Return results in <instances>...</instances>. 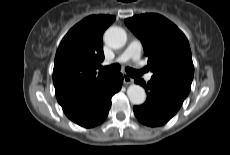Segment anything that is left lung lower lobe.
Returning a JSON list of instances; mask_svg holds the SVG:
<instances>
[{"mask_svg":"<svg viewBox=\"0 0 230 155\" xmlns=\"http://www.w3.org/2000/svg\"><path fill=\"white\" fill-rule=\"evenodd\" d=\"M135 83L146 87V102L133 107L135 116L144 125L157 127L167 123L185 100L151 80L146 84L143 79L136 78Z\"/></svg>","mask_w":230,"mask_h":155,"instance_id":"1","label":"left lung lower lobe"}]
</instances>
